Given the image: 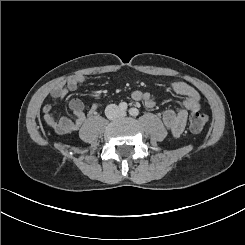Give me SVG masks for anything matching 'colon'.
<instances>
[{"label": "colon", "instance_id": "5ec220e1", "mask_svg": "<svg viewBox=\"0 0 245 245\" xmlns=\"http://www.w3.org/2000/svg\"><path fill=\"white\" fill-rule=\"evenodd\" d=\"M208 116L202 112H194L190 118V129L192 132H201L208 123Z\"/></svg>", "mask_w": 245, "mask_h": 245}]
</instances>
